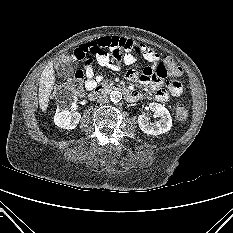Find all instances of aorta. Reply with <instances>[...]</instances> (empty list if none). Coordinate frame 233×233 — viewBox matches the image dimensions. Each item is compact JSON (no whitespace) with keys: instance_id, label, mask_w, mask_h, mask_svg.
<instances>
[{"instance_id":"aorta-1","label":"aorta","mask_w":233,"mask_h":233,"mask_svg":"<svg viewBox=\"0 0 233 233\" xmlns=\"http://www.w3.org/2000/svg\"><path fill=\"white\" fill-rule=\"evenodd\" d=\"M110 100L114 103H118L122 100V93L118 90H114L110 93Z\"/></svg>"}]
</instances>
